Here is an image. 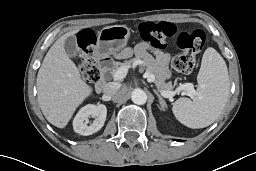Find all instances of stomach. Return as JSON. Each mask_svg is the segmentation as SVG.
Returning a JSON list of instances; mask_svg holds the SVG:
<instances>
[{"instance_id":"obj_1","label":"stomach","mask_w":256,"mask_h":171,"mask_svg":"<svg viewBox=\"0 0 256 171\" xmlns=\"http://www.w3.org/2000/svg\"><path fill=\"white\" fill-rule=\"evenodd\" d=\"M130 37V28L126 25H113L103 28L98 33V42L95 54L98 58H106L110 55L119 56Z\"/></svg>"}]
</instances>
